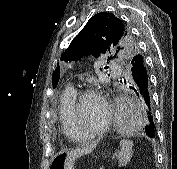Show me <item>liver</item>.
<instances>
[{
  "mask_svg": "<svg viewBox=\"0 0 177 169\" xmlns=\"http://www.w3.org/2000/svg\"><path fill=\"white\" fill-rule=\"evenodd\" d=\"M93 148H94V145L90 147L79 148V149L68 152L65 158V167L67 169H73V163L75 159L84 154L91 152Z\"/></svg>",
  "mask_w": 177,
  "mask_h": 169,
  "instance_id": "6515ba94",
  "label": "liver"
}]
</instances>
